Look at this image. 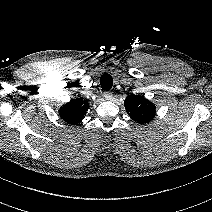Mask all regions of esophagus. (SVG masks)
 Returning a JSON list of instances; mask_svg holds the SVG:
<instances>
[{
    "label": "esophagus",
    "mask_w": 212,
    "mask_h": 212,
    "mask_svg": "<svg viewBox=\"0 0 212 212\" xmlns=\"http://www.w3.org/2000/svg\"><path fill=\"white\" fill-rule=\"evenodd\" d=\"M103 96H104V98H105L106 100H112V99H113V93L110 92V91H105V92L103 93Z\"/></svg>",
    "instance_id": "obj_1"
}]
</instances>
